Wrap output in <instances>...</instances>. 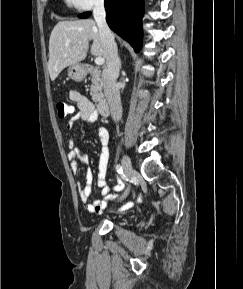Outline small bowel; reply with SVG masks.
Segmentation results:
<instances>
[{
	"instance_id": "small-bowel-1",
	"label": "small bowel",
	"mask_w": 243,
	"mask_h": 289,
	"mask_svg": "<svg viewBox=\"0 0 243 289\" xmlns=\"http://www.w3.org/2000/svg\"><path fill=\"white\" fill-rule=\"evenodd\" d=\"M70 99L77 104L78 112L69 120L67 123V129L73 130L78 121H84L88 124H94L98 119V114L94 109L93 104L90 100L76 90H71L69 92ZM96 133L101 145L99 161H98V178H97V186L101 190V198L95 199L91 203H88L86 209L89 213L101 214L106 206L107 200L113 197L110 194V189L106 183V174L109 163V133L106 128L102 126L96 127ZM70 152L68 154L69 160L71 161V169L73 173H76L81 165H85L87 163V158L85 154L75 146L73 140L69 142ZM92 181H93V172L90 168L86 169L85 174V186L79 187V196L83 203H87L90 199L92 193ZM122 183H118L114 186L113 190L118 192L122 189ZM140 202V200H139ZM132 206V203L129 202L121 208L122 210H126Z\"/></svg>"
}]
</instances>
